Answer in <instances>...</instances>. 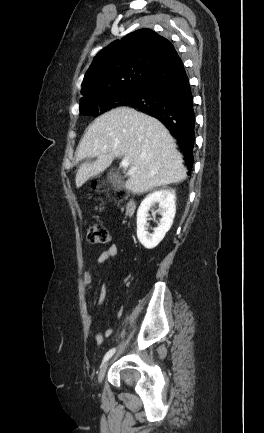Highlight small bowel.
Wrapping results in <instances>:
<instances>
[{
    "instance_id": "1",
    "label": "small bowel",
    "mask_w": 264,
    "mask_h": 433,
    "mask_svg": "<svg viewBox=\"0 0 264 433\" xmlns=\"http://www.w3.org/2000/svg\"><path fill=\"white\" fill-rule=\"evenodd\" d=\"M118 253V246L116 244H110L108 246V248L102 252L100 254V256L98 257V263L99 264H103L105 263L107 260H109L110 258L116 256ZM93 281L92 275L89 272H85L83 275V283L84 285H90ZM106 299V287L104 284L100 285L98 292H97V300L99 302L100 305H102L104 303ZM122 311L120 310L118 312V315H121ZM86 322L88 324V326L92 325L93 319L92 316L88 315L86 318ZM113 333L112 329H107L104 332H98L95 335V342L97 345H101L105 339V337H109L111 336Z\"/></svg>"
}]
</instances>
